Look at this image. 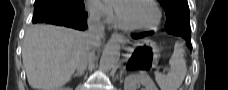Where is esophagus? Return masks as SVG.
Masks as SVG:
<instances>
[{"label": "esophagus", "instance_id": "1", "mask_svg": "<svg viewBox=\"0 0 228 90\" xmlns=\"http://www.w3.org/2000/svg\"><path fill=\"white\" fill-rule=\"evenodd\" d=\"M112 38L119 41V42L125 41V37L119 33H113Z\"/></svg>", "mask_w": 228, "mask_h": 90}]
</instances>
